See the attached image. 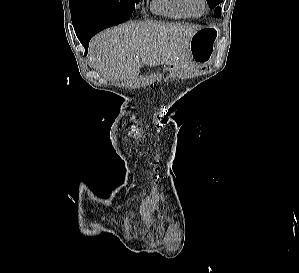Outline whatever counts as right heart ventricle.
<instances>
[{
	"mask_svg": "<svg viewBox=\"0 0 299 273\" xmlns=\"http://www.w3.org/2000/svg\"><path fill=\"white\" fill-rule=\"evenodd\" d=\"M151 9L156 14L172 19L190 17L183 6L182 0H152Z\"/></svg>",
	"mask_w": 299,
	"mask_h": 273,
	"instance_id": "right-heart-ventricle-1",
	"label": "right heart ventricle"
}]
</instances>
